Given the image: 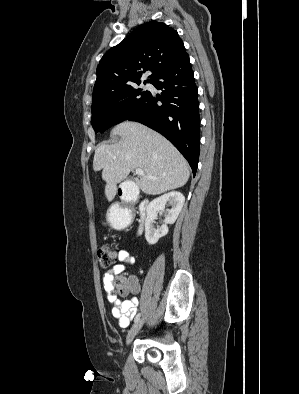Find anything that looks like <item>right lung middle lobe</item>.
<instances>
[{
    "label": "right lung middle lobe",
    "mask_w": 299,
    "mask_h": 394,
    "mask_svg": "<svg viewBox=\"0 0 299 394\" xmlns=\"http://www.w3.org/2000/svg\"><path fill=\"white\" fill-rule=\"evenodd\" d=\"M148 94L143 89H135L134 84L93 93L91 124L95 133H103L126 120L143 104Z\"/></svg>",
    "instance_id": "right-lung-middle-lobe-1"
}]
</instances>
